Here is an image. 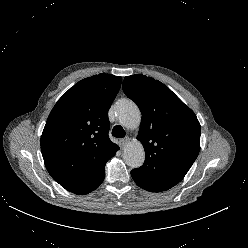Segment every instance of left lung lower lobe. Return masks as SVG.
<instances>
[{"label":"left lung lower lobe","mask_w":248,"mask_h":248,"mask_svg":"<svg viewBox=\"0 0 248 248\" xmlns=\"http://www.w3.org/2000/svg\"><path fill=\"white\" fill-rule=\"evenodd\" d=\"M131 175H132V178H133V180L135 181V183H137L136 176H135V174H134L133 171H131Z\"/></svg>","instance_id":"left-lung-lower-lobe-1"}]
</instances>
